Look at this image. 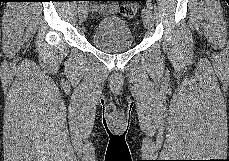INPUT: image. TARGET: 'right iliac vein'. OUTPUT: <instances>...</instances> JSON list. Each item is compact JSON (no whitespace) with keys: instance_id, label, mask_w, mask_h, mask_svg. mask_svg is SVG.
Here are the masks:
<instances>
[{"instance_id":"1","label":"right iliac vein","mask_w":229,"mask_h":161,"mask_svg":"<svg viewBox=\"0 0 229 161\" xmlns=\"http://www.w3.org/2000/svg\"><path fill=\"white\" fill-rule=\"evenodd\" d=\"M84 2V1H82ZM89 8L87 3H81L78 7L79 18L83 22L87 19Z\"/></svg>"}]
</instances>
